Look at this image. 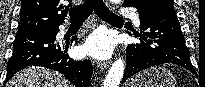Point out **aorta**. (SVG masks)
<instances>
[{
  "label": "aorta",
  "mask_w": 205,
  "mask_h": 87,
  "mask_svg": "<svg viewBox=\"0 0 205 87\" xmlns=\"http://www.w3.org/2000/svg\"><path fill=\"white\" fill-rule=\"evenodd\" d=\"M118 2V0H113ZM124 74V61L119 58L111 66L105 80L103 87H119L121 79Z\"/></svg>",
  "instance_id": "aorta-1"
}]
</instances>
